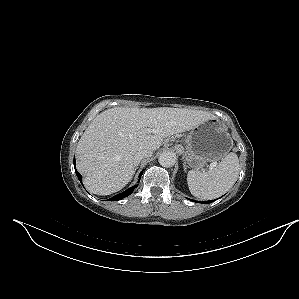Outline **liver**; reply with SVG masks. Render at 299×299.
<instances>
[{"label":"liver","instance_id":"obj_1","mask_svg":"<svg viewBox=\"0 0 299 299\" xmlns=\"http://www.w3.org/2000/svg\"><path fill=\"white\" fill-rule=\"evenodd\" d=\"M215 118L206 111L184 108L105 110L90 123L76 148L86 189L97 195L121 190L135 173L134 155L139 150L156 151L164 138Z\"/></svg>","mask_w":299,"mask_h":299}]
</instances>
